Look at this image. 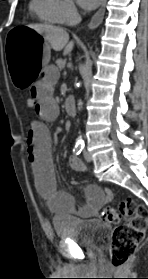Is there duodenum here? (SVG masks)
I'll list each match as a JSON object with an SVG mask.
<instances>
[{
  "label": "duodenum",
  "mask_w": 148,
  "mask_h": 279,
  "mask_svg": "<svg viewBox=\"0 0 148 279\" xmlns=\"http://www.w3.org/2000/svg\"><path fill=\"white\" fill-rule=\"evenodd\" d=\"M64 104L69 115L75 116L77 114L76 101L73 97H66Z\"/></svg>",
  "instance_id": "410a0bca"
}]
</instances>
